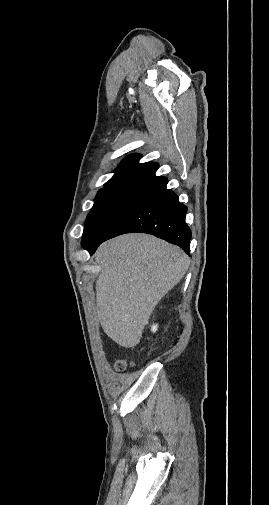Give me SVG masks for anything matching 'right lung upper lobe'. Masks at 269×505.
<instances>
[{
	"label": "right lung upper lobe",
	"mask_w": 269,
	"mask_h": 505,
	"mask_svg": "<svg viewBox=\"0 0 269 505\" xmlns=\"http://www.w3.org/2000/svg\"><path fill=\"white\" fill-rule=\"evenodd\" d=\"M140 155L126 157L118 168L115 175L105 184V187H122L140 190L153 181L158 164L154 162L139 163Z\"/></svg>",
	"instance_id": "cb5924a9"
}]
</instances>
